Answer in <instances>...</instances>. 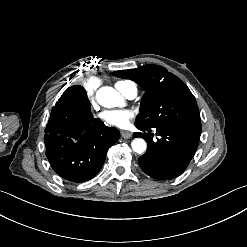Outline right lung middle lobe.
Returning <instances> with one entry per match:
<instances>
[{
    "instance_id": "1",
    "label": "right lung middle lobe",
    "mask_w": 247,
    "mask_h": 247,
    "mask_svg": "<svg viewBox=\"0 0 247 247\" xmlns=\"http://www.w3.org/2000/svg\"><path fill=\"white\" fill-rule=\"evenodd\" d=\"M68 98H70L76 104L84 107L87 110H91V104L88 100L85 89L80 85H74L65 90L62 94Z\"/></svg>"
}]
</instances>
